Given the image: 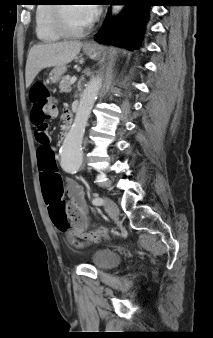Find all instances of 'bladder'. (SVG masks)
Segmentation results:
<instances>
[{
  "mask_svg": "<svg viewBox=\"0 0 213 338\" xmlns=\"http://www.w3.org/2000/svg\"><path fill=\"white\" fill-rule=\"evenodd\" d=\"M120 256L112 250H99L94 254L93 263L97 270L105 271L118 265Z\"/></svg>",
  "mask_w": 213,
  "mask_h": 338,
  "instance_id": "bladder-1",
  "label": "bladder"
}]
</instances>
